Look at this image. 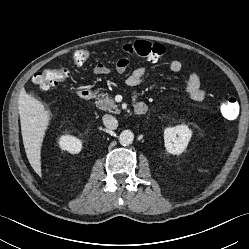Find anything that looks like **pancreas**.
Returning <instances> with one entry per match:
<instances>
[{
	"instance_id": "1",
	"label": "pancreas",
	"mask_w": 249,
	"mask_h": 249,
	"mask_svg": "<svg viewBox=\"0 0 249 249\" xmlns=\"http://www.w3.org/2000/svg\"><path fill=\"white\" fill-rule=\"evenodd\" d=\"M95 104L101 110L109 111L114 114L119 113L118 106L115 104L112 96L107 93H100Z\"/></svg>"
}]
</instances>
